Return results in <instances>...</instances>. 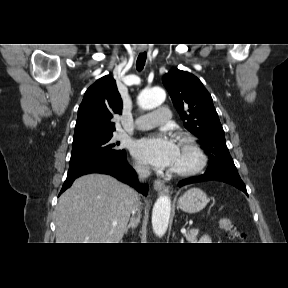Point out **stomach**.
Wrapping results in <instances>:
<instances>
[{
	"instance_id": "0dacf381",
	"label": "stomach",
	"mask_w": 288,
	"mask_h": 288,
	"mask_svg": "<svg viewBox=\"0 0 288 288\" xmlns=\"http://www.w3.org/2000/svg\"><path fill=\"white\" fill-rule=\"evenodd\" d=\"M208 203L207 195L199 188H191L178 199V207L187 213H197Z\"/></svg>"
}]
</instances>
